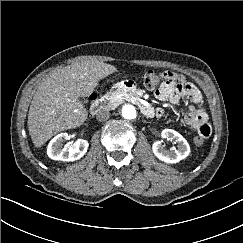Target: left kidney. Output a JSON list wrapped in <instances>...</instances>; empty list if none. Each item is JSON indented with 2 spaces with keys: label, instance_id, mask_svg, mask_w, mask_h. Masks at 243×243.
<instances>
[{
  "label": "left kidney",
  "instance_id": "left-kidney-1",
  "mask_svg": "<svg viewBox=\"0 0 243 243\" xmlns=\"http://www.w3.org/2000/svg\"><path fill=\"white\" fill-rule=\"evenodd\" d=\"M163 138L178 143L177 149L175 147L167 150L162 145L161 141H156L152 145L154 155L165 163H177L185 159L190 153V146L186 139L173 129H164L161 133Z\"/></svg>",
  "mask_w": 243,
  "mask_h": 243
}]
</instances>
